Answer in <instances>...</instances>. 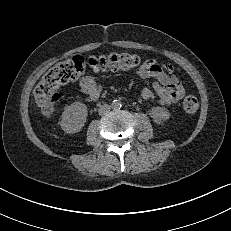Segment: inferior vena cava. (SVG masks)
<instances>
[{
  "instance_id": "inferior-vena-cava-1",
  "label": "inferior vena cava",
  "mask_w": 231,
  "mask_h": 231,
  "mask_svg": "<svg viewBox=\"0 0 231 231\" xmlns=\"http://www.w3.org/2000/svg\"><path fill=\"white\" fill-rule=\"evenodd\" d=\"M111 106L108 104L101 105L99 108L100 115H107L110 112Z\"/></svg>"
}]
</instances>
